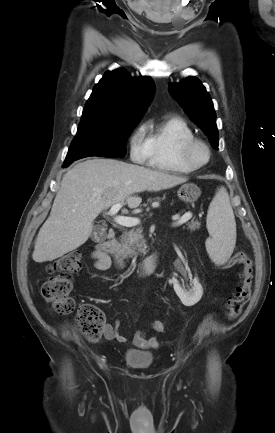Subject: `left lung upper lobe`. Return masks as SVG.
<instances>
[{
	"label": "left lung upper lobe",
	"mask_w": 275,
	"mask_h": 433,
	"mask_svg": "<svg viewBox=\"0 0 275 433\" xmlns=\"http://www.w3.org/2000/svg\"><path fill=\"white\" fill-rule=\"evenodd\" d=\"M169 91L190 120L207 135L212 147L218 149L216 114L210 95L202 83L195 77H188L178 84H170Z\"/></svg>",
	"instance_id": "1"
}]
</instances>
